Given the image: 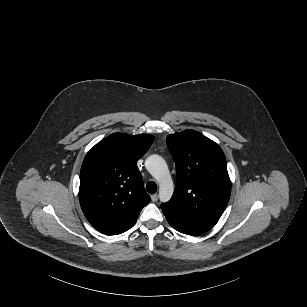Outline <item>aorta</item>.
Returning <instances> with one entry per match:
<instances>
[{
	"mask_svg": "<svg viewBox=\"0 0 307 307\" xmlns=\"http://www.w3.org/2000/svg\"><path fill=\"white\" fill-rule=\"evenodd\" d=\"M145 167L159 183L160 201H169L173 195L174 186L166 161L160 155L153 154L145 160Z\"/></svg>",
	"mask_w": 307,
	"mask_h": 307,
	"instance_id": "obj_1",
	"label": "aorta"
}]
</instances>
